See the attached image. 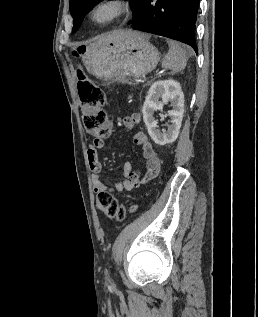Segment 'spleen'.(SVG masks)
Listing matches in <instances>:
<instances>
[{
    "label": "spleen",
    "mask_w": 258,
    "mask_h": 317,
    "mask_svg": "<svg viewBox=\"0 0 258 317\" xmlns=\"http://www.w3.org/2000/svg\"><path fill=\"white\" fill-rule=\"evenodd\" d=\"M169 46L168 54H165L162 60V66L170 68L171 74H173V72H180L182 68H185L188 56L192 54V48L187 46L184 50L179 42H174V40H169Z\"/></svg>",
    "instance_id": "spleen-1"
}]
</instances>
